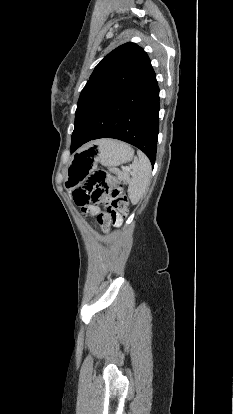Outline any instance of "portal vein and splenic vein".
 <instances>
[{
	"label": "portal vein and splenic vein",
	"mask_w": 233,
	"mask_h": 414,
	"mask_svg": "<svg viewBox=\"0 0 233 414\" xmlns=\"http://www.w3.org/2000/svg\"><path fill=\"white\" fill-rule=\"evenodd\" d=\"M123 170L129 171L130 172V168L129 167H123Z\"/></svg>",
	"instance_id": "obj_1"
}]
</instances>
